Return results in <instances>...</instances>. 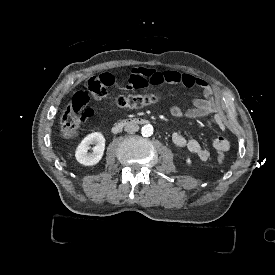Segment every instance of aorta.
<instances>
[{
	"label": "aorta",
	"instance_id": "aorta-1",
	"mask_svg": "<svg viewBox=\"0 0 275 275\" xmlns=\"http://www.w3.org/2000/svg\"><path fill=\"white\" fill-rule=\"evenodd\" d=\"M153 126L151 124H146L141 128V134L144 137H149L153 134Z\"/></svg>",
	"mask_w": 275,
	"mask_h": 275
}]
</instances>
